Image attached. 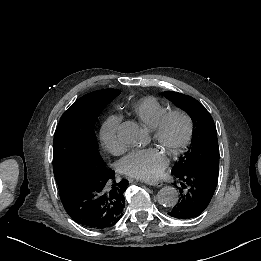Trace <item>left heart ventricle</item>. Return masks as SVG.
Returning a JSON list of instances; mask_svg holds the SVG:
<instances>
[{
  "label": "left heart ventricle",
  "mask_w": 261,
  "mask_h": 261,
  "mask_svg": "<svg viewBox=\"0 0 261 261\" xmlns=\"http://www.w3.org/2000/svg\"><path fill=\"white\" fill-rule=\"evenodd\" d=\"M146 130L148 133V140L146 141V143H148L150 141L156 142L157 144H159L161 146V148L167 154L168 150L170 148L174 147L175 145H177L183 138L184 133H185V123L180 118L172 119L168 123V125L165 129L164 135L159 140H154L152 138L151 131L149 130V128L147 126H146Z\"/></svg>",
  "instance_id": "b2bd125f"
}]
</instances>
